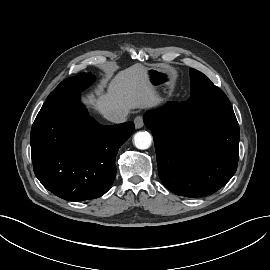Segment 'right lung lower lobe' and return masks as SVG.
I'll return each instance as SVG.
<instances>
[{
  "label": "right lung lower lobe",
  "mask_w": 270,
  "mask_h": 270,
  "mask_svg": "<svg viewBox=\"0 0 270 270\" xmlns=\"http://www.w3.org/2000/svg\"><path fill=\"white\" fill-rule=\"evenodd\" d=\"M133 130L132 122L100 125L89 117L79 94L46 101L31 129L34 173L62 199L98 198L110 189L116 154Z\"/></svg>",
  "instance_id": "1"
}]
</instances>
